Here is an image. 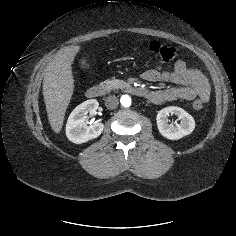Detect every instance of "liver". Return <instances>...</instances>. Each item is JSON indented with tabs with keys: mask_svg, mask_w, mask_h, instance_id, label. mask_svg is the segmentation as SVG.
Wrapping results in <instances>:
<instances>
[{
	"mask_svg": "<svg viewBox=\"0 0 236 236\" xmlns=\"http://www.w3.org/2000/svg\"><path fill=\"white\" fill-rule=\"evenodd\" d=\"M80 46L60 50L44 70L43 96L52 130L60 133L74 92L72 63Z\"/></svg>",
	"mask_w": 236,
	"mask_h": 236,
	"instance_id": "1",
	"label": "liver"
}]
</instances>
